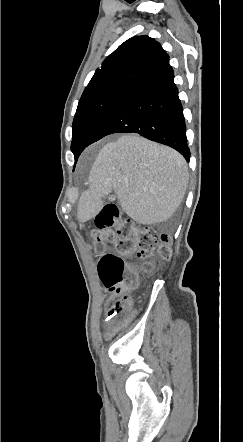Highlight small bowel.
Masks as SVG:
<instances>
[{
	"label": "small bowel",
	"mask_w": 243,
	"mask_h": 442,
	"mask_svg": "<svg viewBox=\"0 0 243 442\" xmlns=\"http://www.w3.org/2000/svg\"><path fill=\"white\" fill-rule=\"evenodd\" d=\"M114 316H113V312L109 309L106 312V319L104 322V327L106 330L108 331H112L114 328Z\"/></svg>",
	"instance_id": "c3829d8e"
}]
</instances>
